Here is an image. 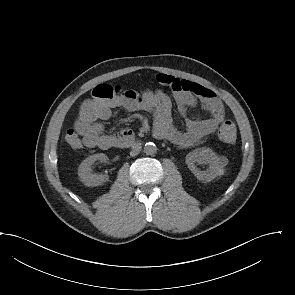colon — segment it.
<instances>
[{
	"label": "colon",
	"mask_w": 295,
	"mask_h": 295,
	"mask_svg": "<svg viewBox=\"0 0 295 295\" xmlns=\"http://www.w3.org/2000/svg\"><path fill=\"white\" fill-rule=\"evenodd\" d=\"M122 95L121 89L117 86L108 84L97 85L92 90V99L85 102L83 107L90 108L92 104L97 102H108ZM236 126L231 121H225L219 130L220 139L225 143H233L236 140Z\"/></svg>",
	"instance_id": "5ec220e1"
}]
</instances>
